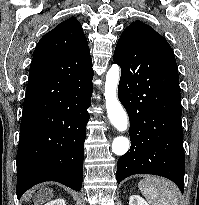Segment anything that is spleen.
<instances>
[{"mask_svg":"<svg viewBox=\"0 0 199 205\" xmlns=\"http://www.w3.org/2000/svg\"><path fill=\"white\" fill-rule=\"evenodd\" d=\"M138 187L150 205H178L175 185L164 178L147 176Z\"/></svg>","mask_w":199,"mask_h":205,"instance_id":"3e777b00","label":"spleen"}]
</instances>
